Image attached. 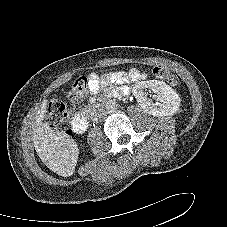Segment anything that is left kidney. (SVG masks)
<instances>
[{
  "mask_svg": "<svg viewBox=\"0 0 227 227\" xmlns=\"http://www.w3.org/2000/svg\"><path fill=\"white\" fill-rule=\"evenodd\" d=\"M147 89L156 94L158 103L155 104L147 98L145 92ZM133 94L146 113L157 117L174 115L179 110L181 103L176 91L165 82L158 80H147L136 83L133 87Z\"/></svg>",
  "mask_w": 227,
  "mask_h": 227,
  "instance_id": "obj_1",
  "label": "left kidney"
}]
</instances>
